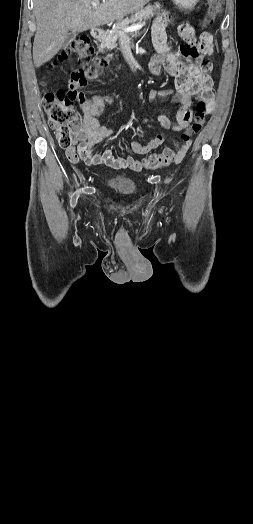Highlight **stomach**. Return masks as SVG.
I'll list each match as a JSON object with an SVG mask.
<instances>
[{
  "mask_svg": "<svg viewBox=\"0 0 253 524\" xmlns=\"http://www.w3.org/2000/svg\"><path fill=\"white\" fill-rule=\"evenodd\" d=\"M173 3L182 10H191L199 2V0H172Z\"/></svg>",
  "mask_w": 253,
  "mask_h": 524,
  "instance_id": "1",
  "label": "stomach"
}]
</instances>
